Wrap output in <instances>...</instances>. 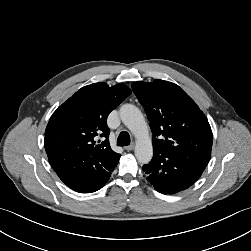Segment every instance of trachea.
<instances>
[{
    "label": "trachea",
    "instance_id": "1",
    "mask_svg": "<svg viewBox=\"0 0 251 251\" xmlns=\"http://www.w3.org/2000/svg\"><path fill=\"white\" fill-rule=\"evenodd\" d=\"M130 144V135L126 131H122L117 138L118 146H127Z\"/></svg>",
    "mask_w": 251,
    "mask_h": 251
}]
</instances>
